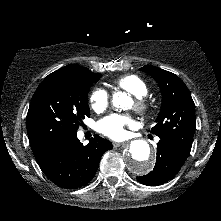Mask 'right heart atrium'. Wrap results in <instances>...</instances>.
<instances>
[{
    "label": "right heart atrium",
    "instance_id": "1",
    "mask_svg": "<svg viewBox=\"0 0 221 221\" xmlns=\"http://www.w3.org/2000/svg\"><path fill=\"white\" fill-rule=\"evenodd\" d=\"M109 101V94L103 88H95L89 97L91 108L98 113L104 111L108 107Z\"/></svg>",
    "mask_w": 221,
    "mask_h": 221
}]
</instances>
